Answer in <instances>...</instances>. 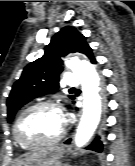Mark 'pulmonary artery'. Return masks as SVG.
<instances>
[{"label": "pulmonary artery", "instance_id": "obj_1", "mask_svg": "<svg viewBox=\"0 0 135 166\" xmlns=\"http://www.w3.org/2000/svg\"><path fill=\"white\" fill-rule=\"evenodd\" d=\"M64 78V84L68 87H75L79 84L78 78L72 72H65Z\"/></svg>", "mask_w": 135, "mask_h": 166}]
</instances>
